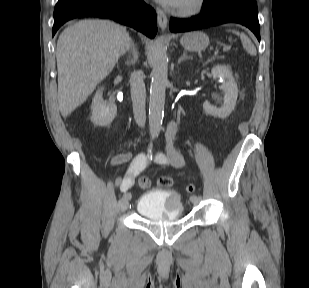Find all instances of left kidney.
<instances>
[{"mask_svg":"<svg viewBox=\"0 0 309 288\" xmlns=\"http://www.w3.org/2000/svg\"><path fill=\"white\" fill-rule=\"evenodd\" d=\"M214 78H222L224 80L221 89L224 92V103L220 108L211 105L208 102L203 104V109L206 113L219 117L226 118L234 110L238 97V88L233 78L232 72L225 65H217L211 70Z\"/></svg>","mask_w":309,"mask_h":288,"instance_id":"left-kidney-1","label":"left kidney"}]
</instances>
